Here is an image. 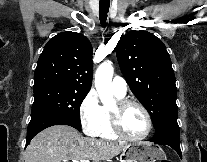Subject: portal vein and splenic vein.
Segmentation results:
<instances>
[{
    "label": "portal vein and splenic vein",
    "instance_id": "1",
    "mask_svg": "<svg viewBox=\"0 0 207 162\" xmlns=\"http://www.w3.org/2000/svg\"><path fill=\"white\" fill-rule=\"evenodd\" d=\"M63 162H68V161L64 160ZM74 162H89V160H80V161H74Z\"/></svg>",
    "mask_w": 207,
    "mask_h": 162
}]
</instances>
